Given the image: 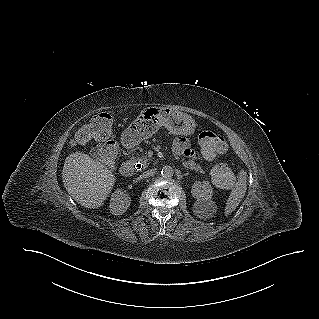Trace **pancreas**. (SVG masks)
Returning <instances> with one entry per match:
<instances>
[{"instance_id": "pancreas-1", "label": "pancreas", "mask_w": 319, "mask_h": 319, "mask_svg": "<svg viewBox=\"0 0 319 319\" xmlns=\"http://www.w3.org/2000/svg\"><path fill=\"white\" fill-rule=\"evenodd\" d=\"M135 162H138L140 164L143 165V168H147L151 159L148 158L147 156H142V157H138V158H134L133 159ZM182 165L187 168V169H191L195 172H200V173H204V171L202 170L201 166L199 164H196L195 161L193 160H182Z\"/></svg>"}]
</instances>
